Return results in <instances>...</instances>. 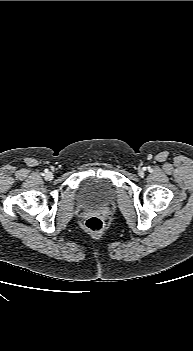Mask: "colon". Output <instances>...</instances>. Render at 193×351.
I'll return each mask as SVG.
<instances>
[{"label": "colon", "mask_w": 193, "mask_h": 351, "mask_svg": "<svg viewBox=\"0 0 193 351\" xmlns=\"http://www.w3.org/2000/svg\"><path fill=\"white\" fill-rule=\"evenodd\" d=\"M84 228L91 233H100L104 228V222L99 216H91L85 220Z\"/></svg>", "instance_id": "colon-1"}]
</instances>
